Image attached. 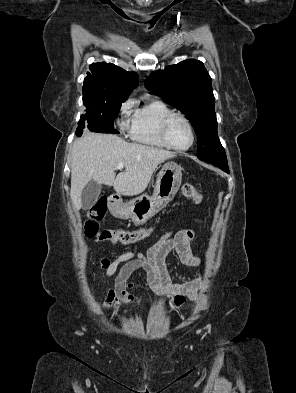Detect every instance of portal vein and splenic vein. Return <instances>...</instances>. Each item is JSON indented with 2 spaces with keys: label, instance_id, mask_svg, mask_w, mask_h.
<instances>
[{
  "label": "portal vein and splenic vein",
  "instance_id": "1",
  "mask_svg": "<svg viewBox=\"0 0 296 393\" xmlns=\"http://www.w3.org/2000/svg\"><path fill=\"white\" fill-rule=\"evenodd\" d=\"M123 167H124V163H123V162H120V163H118L116 169L121 170V169H123Z\"/></svg>",
  "mask_w": 296,
  "mask_h": 393
}]
</instances>
